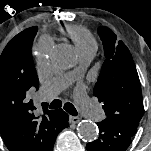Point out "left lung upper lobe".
Returning a JSON list of instances; mask_svg holds the SVG:
<instances>
[{"instance_id":"left-lung-upper-lobe-1","label":"left lung upper lobe","mask_w":151,"mask_h":151,"mask_svg":"<svg viewBox=\"0 0 151 151\" xmlns=\"http://www.w3.org/2000/svg\"><path fill=\"white\" fill-rule=\"evenodd\" d=\"M106 60L93 94L103 102L102 122L132 137L144 114L138 73L127 46L107 27L98 28Z\"/></svg>"}]
</instances>
